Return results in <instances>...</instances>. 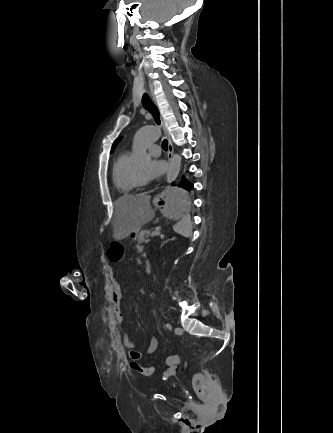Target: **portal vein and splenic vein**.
Instances as JSON below:
<instances>
[{"instance_id":"1","label":"portal vein and splenic vein","mask_w":333,"mask_h":433,"mask_svg":"<svg viewBox=\"0 0 333 433\" xmlns=\"http://www.w3.org/2000/svg\"><path fill=\"white\" fill-rule=\"evenodd\" d=\"M156 235H159L160 238H164V235L161 233V230L158 229V228H157L156 231L153 232L150 236L152 237V236H156ZM150 241H151V239H149V238H147V239L145 240L146 243H148V242H150Z\"/></svg>"}]
</instances>
